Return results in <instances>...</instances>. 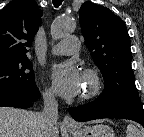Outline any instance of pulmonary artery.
Here are the masks:
<instances>
[{
	"instance_id": "obj_1",
	"label": "pulmonary artery",
	"mask_w": 144,
	"mask_h": 137,
	"mask_svg": "<svg viewBox=\"0 0 144 137\" xmlns=\"http://www.w3.org/2000/svg\"><path fill=\"white\" fill-rule=\"evenodd\" d=\"M80 42L77 37L69 36L62 39L52 49L51 53L55 55H70L78 51Z\"/></svg>"
}]
</instances>
